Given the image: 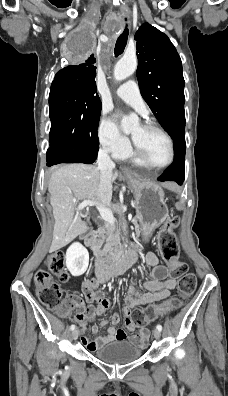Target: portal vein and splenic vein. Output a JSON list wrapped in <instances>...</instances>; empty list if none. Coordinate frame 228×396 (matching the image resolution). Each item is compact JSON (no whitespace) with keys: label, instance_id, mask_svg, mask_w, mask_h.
I'll return each mask as SVG.
<instances>
[{"label":"portal vein and splenic vein","instance_id":"18ae733b","mask_svg":"<svg viewBox=\"0 0 228 396\" xmlns=\"http://www.w3.org/2000/svg\"><path fill=\"white\" fill-rule=\"evenodd\" d=\"M87 206H96L97 209L100 212L101 217L105 221L109 222L112 225L115 223V219H114V216H113L111 210H109L108 208H105L104 206H102L98 202L91 201V200H84V201H82L81 203L78 204L77 210H83Z\"/></svg>","mask_w":228,"mask_h":396}]
</instances>
